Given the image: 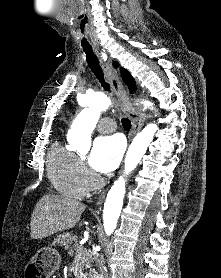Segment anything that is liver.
<instances>
[{"label": "liver", "instance_id": "1", "mask_svg": "<svg viewBox=\"0 0 221 278\" xmlns=\"http://www.w3.org/2000/svg\"><path fill=\"white\" fill-rule=\"evenodd\" d=\"M85 208L81 202L63 195L42 196L31 215V238L43 239L73 228L79 222ZM79 226H82V223Z\"/></svg>", "mask_w": 221, "mask_h": 278}]
</instances>
